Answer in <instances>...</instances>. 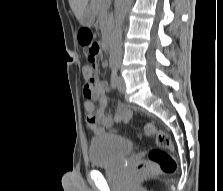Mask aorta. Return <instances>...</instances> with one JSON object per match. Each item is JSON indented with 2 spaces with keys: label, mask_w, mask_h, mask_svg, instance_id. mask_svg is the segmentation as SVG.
<instances>
[{
  "label": "aorta",
  "mask_w": 223,
  "mask_h": 191,
  "mask_svg": "<svg viewBox=\"0 0 223 191\" xmlns=\"http://www.w3.org/2000/svg\"><path fill=\"white\" fill-rule=\"evenodd\" d=\"M132 0H118L115 8V32L110 45V64L119 65L122 58V25Z\"/></svg>",
  "instance_id": "obj_1"
}]
</instances>
